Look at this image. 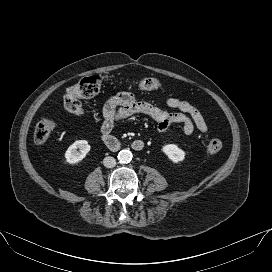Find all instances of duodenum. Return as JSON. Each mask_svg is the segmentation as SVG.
<instances>
[{
	"label": "duodenum",
	"instance_id": "obj_1",
	"mask_svg": "<svg viewBox=\"0 0 272 272\" xmlns=\"http://www.w3.org/2000/svg\"><path fill=\"white\" fill-rule=\"evenodd\" d=\"M102 141L104 142V144L110 149V150H113V151H117L120 149L121 147V144L119 142V140L110 135V134H102ZM131 147L134 151H137V152H140L142 150H144L145 148V142L144 140L142 139H137V140H134L132 143H131Z\"/></svg>",
	"mask_w": 272,
	"mask_h": 272
}]
</instances>
